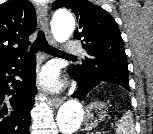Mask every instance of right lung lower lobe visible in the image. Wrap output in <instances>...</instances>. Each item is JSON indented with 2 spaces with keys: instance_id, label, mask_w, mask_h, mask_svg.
I'll use <instances>...</instances> for the list:
<instances>
[{
  "instance_id": "98d812e1",
  "label": "right lung lower lobe",
  "mask_w": 153,
  "mask_h": 134,
  "mask_svg": "<svg viewBox=\"0 0 153 134\" xmlns=\"http://www.w3.org/2000/svg\"><path fill=\"white\" fill-rule=\"evenodd\" d=\"M27 57L0 65V134H29L34 104L36 63ZM19 76L22 81L14 77ZM11 84V87L9 86Z\"/></svg>"
}]
</instances>
